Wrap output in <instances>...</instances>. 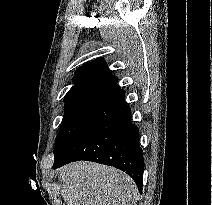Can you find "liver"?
<instances>
[{
    "instance_id": "obj_1",
    "label": "liver",
    "mask_w": 212,
    "mask_h": 205,
    "mask_svg": "<svg viewBox=\"0 0 212 205\" xmlns=\"http://www.w3.org/2000/svg\"><path fill=\"white\" fill-rule=\"evenodd\" d=\"M67 205H135V182L116 168L80 161L59 169Z\"/></svg>"
}]
</instances>
